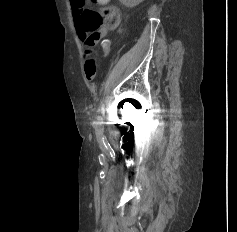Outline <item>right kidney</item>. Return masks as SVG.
<instances>
[{
  "label": "right kidney",
  "instance_id": "ca27d5eb",
  "mask_svg": "<svg viewBox=\"0 0 237 232\" xmlns=\"http://www.w3.org/2000/svg\"><path fill=\"white\" fill-rule=\"evenodd\" d=\"M123 5L128 8H133L143 2L144 0H119Z\"/></svg>",
  "mask_w": 237,
  "mask_h": 232
}]
</instances>
